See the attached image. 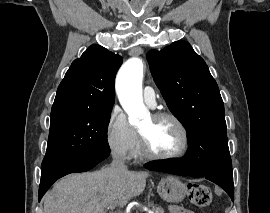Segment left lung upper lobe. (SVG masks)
<instances>
[{
  "label": "left lung upper lobe",
  "instance_id": "5c2ea615",
  "mask_svg": "<svg viewBox=\"0 0 270 213\" xmlns=\"http://www.w3.org/2000/svg\"><path fill=\"white\" fill-rule=\"evenodd\" d=\"M154 81L173 115L188 132V144L204 174L231 170L224 104L204 60L186 41L147 53Z\"/></svg>",
  "mask_w": 270,
  "mask_h": 213
}]
</instances>
